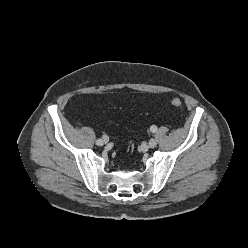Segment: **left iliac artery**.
I'll list each match as a JSON object with an SVG mask.
<instances>
[{"label": "left iliac artery", "instance_id": "obj_1", "mask_svg": "<svg viewBox=\"0 0 248 248\" xmlns=\"http://www.w3.org/2000/svg\"><path fill=\"white\" fill-rule=\"evenodd\" d=\"M150 130H151L152 133H156L157 132V127L155 125H152L150 127Z\"/></svg>", "mask_w": 248, "mask_h": 248}]
</instances>
